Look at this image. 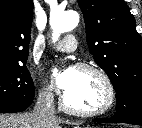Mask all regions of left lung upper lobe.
Listing matches in <instances>:
<instances>
[{"instance_id":"obj_1","label":"left lung upper lobe","mask_w":142,"mask_h":128,"mask_svg":"<svg viewBox=\"0 0 142 128\" xmlns=\"http://www.w3.org/2000/svg\"><path fill=\"white\" fill-rule=\"evenodd\" d=\"M90 53L115 91L114 116H142V42L123 0H78Z\"/></svg>"}]
</instances>
